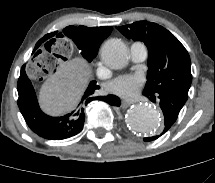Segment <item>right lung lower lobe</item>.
I'll list each match as a JSON object with an SVG mask.
<instances>
[{"instance_id": "98d812e1", "label": "right lung lower lobe", "mask_w": 215, "mask_h": 183, "mask_svg": "<svg viewBox=\"0 0 215 183\" xmlns=\"http://www.w3.org/2000/svg\"><path fill=\"white\" fill-rule=\"evenodd\" d=\"M100 87L96 81H91L74 111L61 117L46 115L39 108L32 83L25 72V65L21 68L18 79V106L30 129L42 138L62 140L78 134L84 125L85 108L93 100H101L110 105L120 106V99L115 95L96 96Z\"/></svg>"}]
</instances>
